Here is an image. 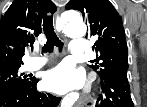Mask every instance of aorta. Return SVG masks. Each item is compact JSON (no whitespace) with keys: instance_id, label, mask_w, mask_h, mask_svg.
Returning <instances> with one entry per match:
<instances>
[{"instance_id":"762f6f07","label":"aorta","mask_w":147,"mask_h":107,"mask_svg":"<svg viewBox=\"0 0 147 107\" xmlns=\"http://www.w3.org/2000/svg\"><path fill=\"white\" fill-rule=\"evenodd\" d=\"M62 31L68 37H83L87 29L80 17H69L63 21Z\"/></svg>"}]
</instances>
